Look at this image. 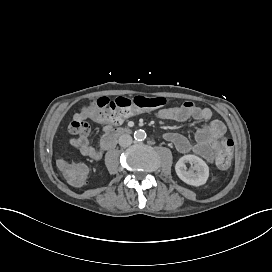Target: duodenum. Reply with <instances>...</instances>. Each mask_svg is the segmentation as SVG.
Listing matches in <instances>:
<instances>
[{
  "instance_id": "duodenum-1",
  "label": "duodenum",
  "mask_w": 272,
  "mask_h": 272,
  "mask_svg": "<svg viewBox=\"0 0 272 272\" xmlns=\"http://www.w3.org/2000/svg\"><path fill=\"white\" fill-rule=\"evenodd\" d=\"M126 133H129V129L127 128H117V129L107 130L101 138L102 150H108L114 147L117 138Z\"/></svg>"
}]
</instances>
